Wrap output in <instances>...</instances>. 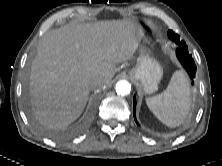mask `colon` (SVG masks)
Returning <instances> with one entry per match:
<instances>
[{
  "label": "colon",
  "instance_id": "1",
  "mask_svg": "<svg viewBox=\"0 0 222 166\" xmlns=\"http://www.w3.org/2000/svg\"><path fill=\"white\" fill-rule=\"evenodd\" d=\"M140 32L144 38H151L153 34V30L148 23H141Z\"/></svg>",
  "mask_w": 222,
  "mask_h": 166
}]
</instances>
